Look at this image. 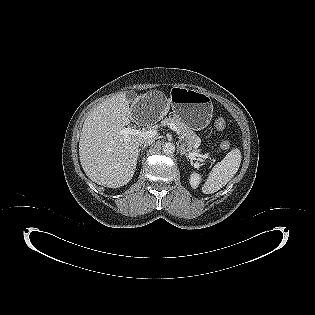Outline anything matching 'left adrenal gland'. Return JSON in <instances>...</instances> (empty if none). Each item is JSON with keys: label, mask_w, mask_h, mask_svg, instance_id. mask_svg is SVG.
<instances>
[{"label": "left adrenal gland", "mask_w": 315, "mask_h": 315, "mask_svg": "<svg viewBox=\"0 0 315 315\" xmlns=\"http://www.w3.org/2000/svg\"><path fill=\"white\" fill-rule=\"evenodd\" d=\"M179 151H180L181 156L184 155L188 159V154H187L186 150L183 148V146L179 147Z\"/></svg>", "instance_id": "left-adrenal-gland-1"}]
</instances>
